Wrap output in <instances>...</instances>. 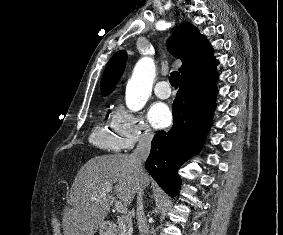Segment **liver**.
Here are the masks:
<instances>
[{"label": "liver", "mask_w": 283, "mask_h": 235, "mask_svg": "<svg viewBox=\"0 0 283 235\" xmlns=\"http://www.w3.org/2000/svg\"><path fill=\"white\" fill-rule=\"evenodd\" d=\"M149 177H137L134 162L127 154L97 156L78 171L63 212L64 235H94L110 211L111 196L107 187L116 183L114 192L123 205L129 206L137 186L145 188Z\"/></svg>", "instance_id": "obj_1"}]
</instances>
